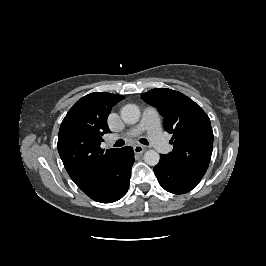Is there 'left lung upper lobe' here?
Segmentation results:
<instances>
[{
    "label": "left lung upper lobe",
    "mask_w": 266,
    "mask_h": 266,
    "mask_svg": "<svg viewBox=\"0 0 266 266\" xmlns=\"http://www.w3.org/2000/svg\"><path fill=\"white\" fill-rule=\"evenodd\" d=\"M164 117V128L172 134L173 151L163 155L184 170L206 171L213 148V131L208 115L186 95L167 88H156L141 95Z\"/></svg>",
    "instance_id": "1"
}]
</instances>
